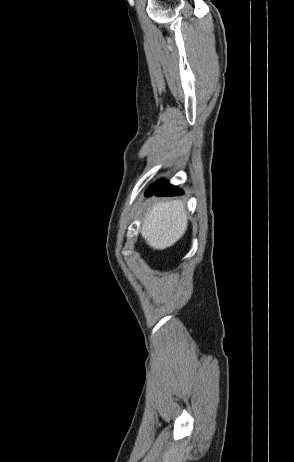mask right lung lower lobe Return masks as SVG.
Returning a JSON list of instances; mask_svg holds the SVG:
<instances>
[{"label":"right lung lower lobe","mask_w":294,"mask_h":462,"mask_svg":"<svg viewBox=\"0 0 294 462\" xmlns=\"http://www.w3.org/2000/svg\"><path fill=\"white\" fill-rule=\"evenodd\" d=\"M153 194L157 196H175L182 195L183 193L180 189L168 185L165 180H161L152 185L146 192V196H151Z\"/></svg>","instance_id":"right-lung-lower-lobe-1"}]
</instances>
